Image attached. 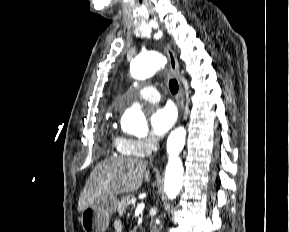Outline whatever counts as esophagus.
I'll return each mask as SVG.
<instances>
[{"mask_svg":"<svg viewBox=\"0 0 289 232\" xmlns=\"http://www.w3.org/2000/svg\"><path fill=\"white\" fill-rule=\"evenodd\" d=\"M166 53L169 59L170 69L173 75L175 76V78L178 80L179 85L181 87V75H180V69H179L177 57L174 51L169 46L166 47Z\"/></svg>","mask_w":289,"mask_h":232,"instance_id":"34e87169","label":"esophagus"}]
</instances>
